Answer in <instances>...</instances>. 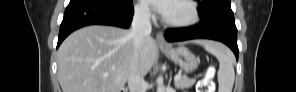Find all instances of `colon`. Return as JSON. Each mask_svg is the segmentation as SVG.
<instances>
[{
	"instance_id": "obj_1",
	"label": "colon",
	"mask_w": 296,
	"mask_h": 92,
	"mask_svg": "<svg viewBox=\"0 0 296 92\" xmlns=\"http://www.w3.org/2000/svg\"><path fill=\"white\" fill-rule=\"evenodd\" d=\"M210 86H211V77L208 74L207 76H205L201 80L200 86H199V91L200 92H208V91H210Z\"/></svg>"
}]
</instances>
